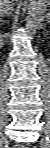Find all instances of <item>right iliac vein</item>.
<instances>
[{"label": "right iliac vein", "mask_w": 50, "mask_h": 148, "mask_svg": "<svg viewBox=\"0 0 50 148\" xmlns=\"http://www.w3.org/2000/svg\"><path fill=\"white\" fill-rule=\"evenodd\" d=\"M1 143H2V144L5 143V138H4V137L1 138Z\"/></svg>", "instance_id": "63e3f726"}]
</instances>
